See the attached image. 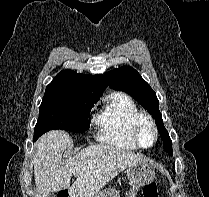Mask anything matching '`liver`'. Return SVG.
Listing matches in <instances>:
<instances>
[{
  "label": "liver",
  "instance_id": "liver-1",
  "mask_svg": "<svg viewBox=\"0 0 209 197\" xmlns=\"http://www.w3.org/2000/svg\"><path fill=\"white\" fill-rule=\"evenodd\" d=\"M72 143L62 130L49 131L37 140L33 155L35 197L64 189L70 197H93L126 167L144 160L110 144L90 145L64 160L62 154ZM72 175L76 180L70 187Z\"/></svg>",
  "mask_w": 209,
  "mask_h": 197
}]
</instances>
